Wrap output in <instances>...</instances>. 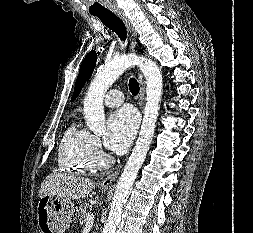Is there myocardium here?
Listing matches in <instances>:
<instances>
[{
  "instance_id": "f54148a6",
  "label": "myocardium",
  "mask_w": 253,
  "mask_h": 233,
  "mask_svg": "<svg viewBox=\"0 0 253 233\" xmlns=\"http://www.w3.org/2000/svg\"><path fill=\"white\" fill-rule=\"evenodd\" d=\"M93 163L96 166H105L109 163V159L103 154H93Z\"/></svg>"
}]
</instances>
